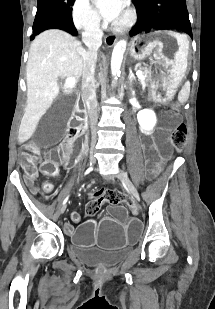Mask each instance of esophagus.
Instances as JSON below:
<instances>
[{
  "mask_svg": "<svg viewBox=\"0 0 215 309\" xmlns=\"http://www.w3.org/2000/svg\"><path fill=\"white\" fill-rule=\"evenodd\" d=\"M117 41V37L115 35H106L105 43L108 47H112Z\"/></svg>",
  "mask_w": 215,
  "mask_h": 309,
  "instance_id": "obj_1",
  "label": "esophagus"
}]
</instances>
